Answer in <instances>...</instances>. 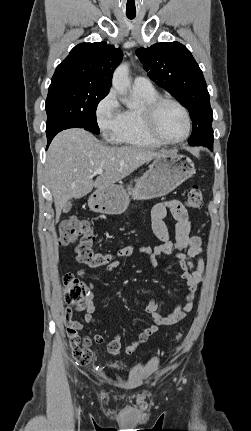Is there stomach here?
<instances>
[{
    "instance_id": "0dacf381",
    "label": "stomach",
    "mask_w": 251,
    "mask_h": 431,
    "mask_svg": "<svg viewBox=\"0 0 251 431\" xmlns=\"http://www.w3.org/2000/svg\"><path fill=\"white\" fill-rule=\"evenodd\" d=\"M195 173L192 161L175 151L157 157L136 180L131 195L134 200L165 196ZM130 199L120 185L95 191L88 200L90 209L97 213L119 215L126 211Z\"/></svg>"
}]
</instances>
